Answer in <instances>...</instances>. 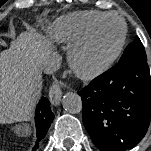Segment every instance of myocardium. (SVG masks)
<instances>
[{"mask_svg":"<svg viewBox=\"0 0 151 151\" xmlns=\"http://www.w3.org/2000/svg\"><path fill=\"white\" fill-rule=\"evenodd\" d=\"M109 18H115L121 23L122 32L120 39L117 43L116 48L108 58L98 64H90L85 60L87 48L92 41V38L95 35L98 27ZM126 38V21L119 14L114 12L104 14L92 24L86 34L81 39H79L78 42L72 47L70 51V63L73 70L79 77L86 80L94 79L104 74L114 65V63L121 55L126 42Z\"/></svg>","mask_w":151,"mask_h":151,"instance_id":"myocardium-1","label":"myocardium"}]
</instances>
